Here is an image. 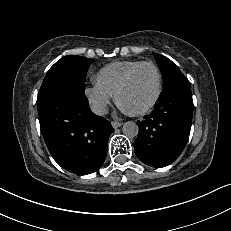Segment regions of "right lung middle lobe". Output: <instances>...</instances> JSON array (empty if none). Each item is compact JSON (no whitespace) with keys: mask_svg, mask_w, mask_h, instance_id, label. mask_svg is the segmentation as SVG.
Listing matches in <instances>:
<instances>
[{"mask_svg":"<svg viewBox=\"0 0 231 231\" xmlns=\"http://www.w3.org/2000/svg\"><path fill=\"white\" fill-rule=\"evenodd\" d=\"M89 66L90 60L86 57L71 55L61 58L47 72L38 98L61 86L72 85L84 90Z\"/></svg>","mask_w":231,"mask_h":231,"instance_id":"dd1d6c3e","label":"right lung middle lobe"}]
</instances>
